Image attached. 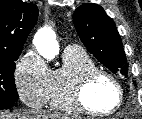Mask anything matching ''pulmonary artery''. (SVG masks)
Listing matches in <instances>:
<instances>
[{"label":"pulmonary artery","mask_w":142,"mask_h":119,"mask_svg":"<svg viewBox=\"0 0 142 119\" xmlns=\"http://www.w3.org/2000/svg\"><path fill=\"white\" fill-rule=\"evenodd\" d=\"M69 47H73V46L72 45H68L67 48H69Z\"/></svg>","instance_id":"obj_1"}]
</instances>
